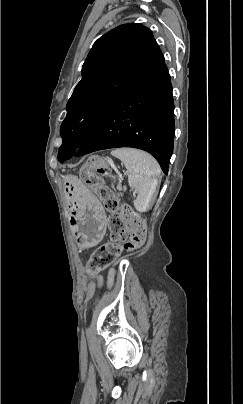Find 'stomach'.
Returning a JSON list of instances; mask_svg holds the SVG:
<instances>
[{"mask_svg": "<svg viewBox=\"0 0 243 404\" xmlns=\"http://www.w3.org/2000/svg\"><path fill=\"white\" fill-rule=\"evenodd\" d=\"M66 198L70 204V225L82 248L97 245L106 230V214L99 200L77 177L64 179Z\"/></svg>", "mask_w": 243, "mask_h": 404, "instance_id": "0dacf381", "label": "stomach"}]
</instances>
